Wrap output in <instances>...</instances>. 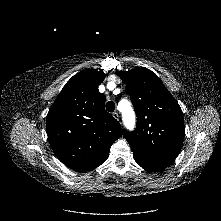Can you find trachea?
Here are the masks:
<instances>
[{
	"label": "trachea",
	"mask_w": 221,
	"mask_h": 221,
	"mask_svg": "<svg viewBox=\"0 0 221 221\" xmlns=\"http://www.w3.org/2000/svg\"><path fill=\"white\" fill-rule=\"evenodd\" d=\"M106 110L108 112H113L115 110V103L113 101H108L106 103Z\"/></svg>",
	"instance_id": "3493384b"
}]
</instances>
